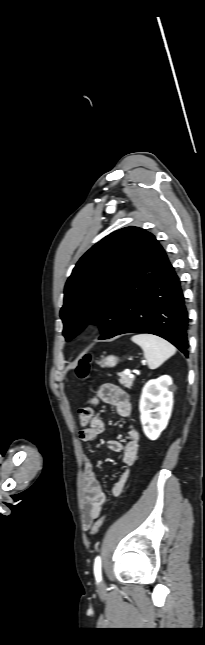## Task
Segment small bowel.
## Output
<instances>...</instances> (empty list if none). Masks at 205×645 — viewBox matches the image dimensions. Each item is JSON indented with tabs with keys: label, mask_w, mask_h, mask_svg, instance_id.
I'll return each mask as SVG.
<instances>
[{
	"label": "small bowel",
	"mask_w": 205,
	"mask_h": 645,
	"mask_svg": "<svg viewBox=\"0 0 205 645\" xmlns=\"http://www.w3.org/2000/svg\"><path fill=\"white\" fill-rule=\"evenodd\" d=\"M98 398L115 407L117 414L122 418H127L131 414V403L127 393L120 387L105 383L101 385L98 391ZM104 421L99 415H94L88 428L80 431L79 437L84 442L94 441L103 431ZM108 448L122 454L123 468L111 487L113 496H120L124 490L129 477V467L132 466L138 454L139 433L137 429L130 424L127 428V440L125 443L119 440H109ZM84 493L82 504V523L85 529L91 527L93 521L97 519L104 510L106 503V494L104 493L99 480L96 477L93 461L89 456L84 459Z\"/></svg>",
	"instance_id": "obj_1"
}]
</instances>
